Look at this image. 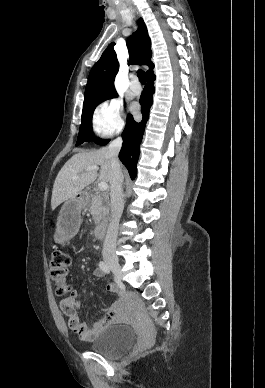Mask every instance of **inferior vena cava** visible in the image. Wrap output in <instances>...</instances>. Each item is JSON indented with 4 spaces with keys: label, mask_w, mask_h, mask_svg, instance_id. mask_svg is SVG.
Returning <instances> with one entry per match:
<instances>
[{
    "label": "inferior vena cava",
    "mask_w": 265,
    "mask_h": 388,
    "mask_svg": "<svg viewBox=\"0 0 265 388\" xmlns=\"http://www.w3.org/2000/svg\"><path fill=\"white\" fill-rule=\"evenodd\" d=\"M122 138H117L108 146L107 158L111 164V178H110V198L112 220L108 226L106 238L103 246V258H113L116 256V240L119 226V220L122 216L124 202L122 200V184L124 176L121 172L118 154L122 148Z\"/></svg>",
    "instance_id": "obj_1"
}]
</instances>
